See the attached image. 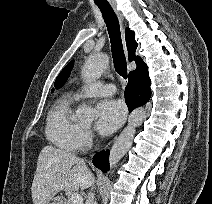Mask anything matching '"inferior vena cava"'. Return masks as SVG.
<instances>
[{
	"instance_id": "obj_1",
	"label": "inferior vena cava",
	"mask_w": 212,
	"mask_h": 204,
	"mask_svg": "<svg viewBox=\"0 0 212 204\" xmlns=\"http://www.w3.org/2000/svg\"><path fill=\"white\" fill-rule=\"evenodd\" d=\"M89 186L91 187V191L88 193L87 200H86L85 204H94L93 202H94L95 196H94V193L92 192V190L94 188V178L92 176H91V179H90Z\"/></svg>"
}]
</instances>
